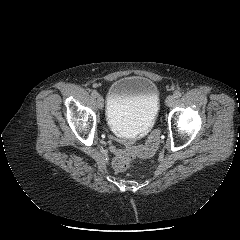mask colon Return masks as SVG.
I'll return each instance as SVG.
<instances>
[{
    "mask_svg": "<svg viewBox=\"0 0 240 240\" xmlns=\"http://www.w3.org/2000/svg\"><path fill=\"white\" fill-rule=\"evenodd\" d=\"M160 140V131L154 130L144 145L131 146L124 149L116 155L113 166L119 172L126 171L130 168L131 162L136 157H149L155 153Z\"/></svg>",
    "mask_w": 240,
    "mask_h": 240,
    "instance_id": "5ec220e1",
    "label": "colon"
}]
</instances>
